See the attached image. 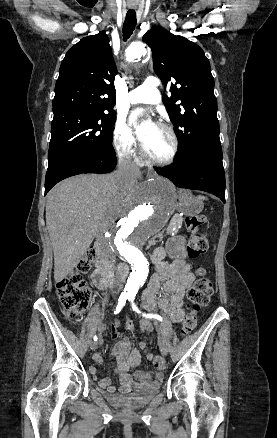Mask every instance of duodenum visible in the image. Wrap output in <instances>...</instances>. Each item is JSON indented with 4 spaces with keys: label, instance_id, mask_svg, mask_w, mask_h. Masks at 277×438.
I'll list each match as a JSON object with an SVG mask.
<instances>
[{
    "label": "duodenum",
    "instance_id": "duodenum-1",
    "mask_svg": "<svg viewBox=\"0 0 277 438\" xmlns=\"http://www.w3.org/2000/svg\"><path fill=\"white\" fill-rule=\"evenodd\" d=\"M94 247L97 252V259L95 263L96 269L92 274V281L98 289H106L111 284L109 263L102 244L96 242ZM159 259L160 257L156 252L151 255L153 263H158Z\"/></svg>",
    "mask_w": 277,
    "mask_h": 438
}]
</instances>
